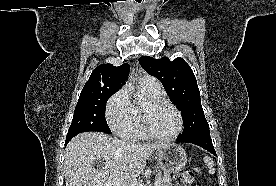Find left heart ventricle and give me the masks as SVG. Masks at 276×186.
<instances>
[{"label":"left heart ventricle","instance_id":"left-heart-ventricle-1","mask_svg":"<svg viewBox=\"0 0 276 186\" xmlns=\"http://www.w3.org/2000/svg\"><path fill=\"white\" fill-rule=\"evenodd\" d=\"M149 120L153 131L162 136H169L175 133L179 124L177 114L167 105L152 109L149 114Z\"/></svg>","mask_w":276,"mask_h":186}]
</instances>
